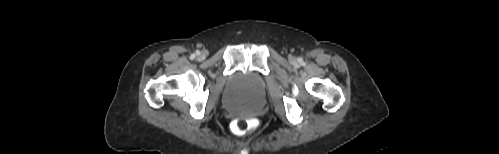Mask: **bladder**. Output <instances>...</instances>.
<instances>
[{
    "label": "bladder",
    "mask_w": 499,
    "mask_h": 154,
    "mask_svg": "<svg viewBox=\"0 0 499 154\" xmlns=\"http://www.w3.org/2000/svg\"><path fill=\"white\" fill-rule=\"evenodd\" d=\"M263 84L254 73L238 74L225 94L224 103L237 113L252 114L260 109Z\"/></svg>",
    "instance_id": "31cf9c89"
}]
</instances>
